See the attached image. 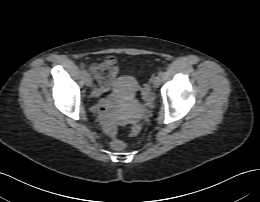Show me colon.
Wrapping results in <instances>:
<instances>
[{
  "label": "colon",
  "mask_w": 260,
  "mask_h": 202,
  "mask_svg": "<svg viewBox=\"0 0 260 202\" xmlns=\"http://www.w3.org/2000/svg\"><path fill=\"white\" fill-rule=\"evenodd\" d=\"M118 67L115 58L107 57L102 62L98 63L92 68L93 74L101 83H109L115 77L117 73ZM140 126L134 125L132 127L131 136H135L139 133ZM112 149L118 152L125 151L127 149V145L125 142L121 140H113L111 143Z\"/></svg>",
  "instance_id": "obj_1"
}]
</instances>
